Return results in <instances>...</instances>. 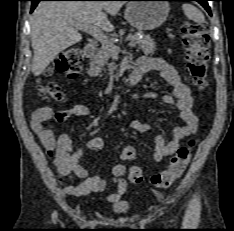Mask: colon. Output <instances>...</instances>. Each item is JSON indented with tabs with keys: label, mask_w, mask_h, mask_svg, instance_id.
I'll return each mask as SVG.
<instances>
[{
	"label": "colon",
	"mask_w": 234,
	"mask_h": 231,
	"mask_svg": "<svg viewBox=\"0 0 234 231\" xmlns=\"http://www.w3.org/2000/svg\"><path fill=\"white\" fill-rule=\"evenodd\" d=\"M182 43L186 53L187 68L193 84L202 89L206 83L208 71V45L209 35L204 24L196 25L191 22L184 23L180 28ZM82 53L77 47H69L61 52L49 73L66 74L69 77L78 75V65ZM40 93L46 98L54 101L64 100V93L55 83H48L39 87ZM195 140H190L181 146L170 159L166 169L151 177V183L156 189L170 187L184 173L192 157ZM136 157L133 147H126L120 154L121 160L131 162ZM128 179L131 183H140L144 179L142 168L133 166L129 169Z\"/></svg>",
	"instance_id": "obj_1"
}]
</instances>
